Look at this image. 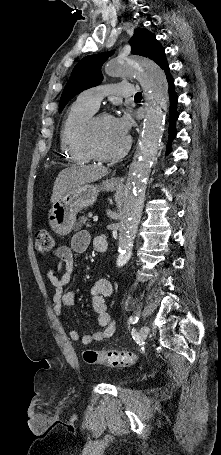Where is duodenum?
Masks as SVG:
<instances>
[{"instance_id": "1", "label": "duodenum", "mask_w": 221, "mask_h": 455, "mask_svg": "<svg viewBox=\"0 0 221 455\" xmlns=\"http://www.w3.org/2000/svg\"><path fill=\"white\" fill-rule=\"evenodd\" d=\"M94 245L96 250L100 253H105L107 250V240L105 237H97Z\"/></svg>"}]
</instances>
